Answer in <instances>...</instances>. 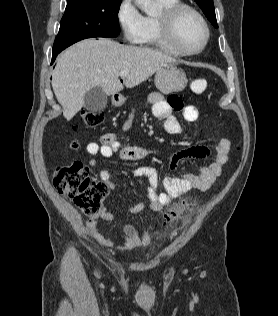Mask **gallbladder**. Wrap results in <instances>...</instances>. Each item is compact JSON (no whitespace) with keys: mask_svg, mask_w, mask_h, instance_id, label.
<instances>
[{"mask_svg":"<svg viewBox=\"0 0 278 316\" xmlns=\"http://www.w3.org/2000/svg\"><path fill=\"white\" fill-rule=\"evenodd\" d=\"M107 106V94L98 86L86 92L84 108L89 112H100Z\"/></svg>","mask_w":278,"mask_h":316,"instance_id":"obj_1","label":"gallbladder"}]
</instances>
